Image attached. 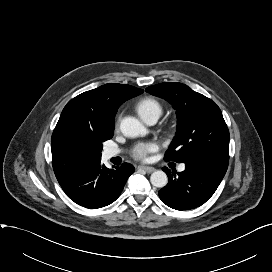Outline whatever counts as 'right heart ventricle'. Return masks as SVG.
Wrapping results in <instances>:
<instances>
[{"label":"right heart ventricle","instance_id":"obj_1","mask_svg":"<svg viewBox=\"0 0 272 272\" xmlns=\"http://www.w3.org/2000/svg\"><path fill=\"white\" fill-rule=\"evenodd\" d=\"M136 110L140 117L146 121L151 117H159L162 113L161 103L152 97H146L141 99L137 105Z\"/></svg>","mask_w":272,"mask_h":272}]
</instances>
